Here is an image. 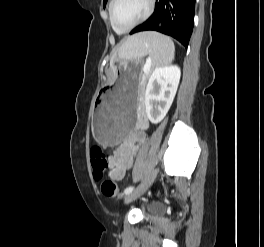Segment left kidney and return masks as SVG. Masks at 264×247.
Returning <instances> with one entry per match:
<instances>
[{
  "label": "left kidney",
  "mask_w": 264,
  "mask_h": 247,
  "mask_svg": "<svg viewBox=\"0 0 264 247\" xmlns=\"http://www.w3.org/2000/svg\"><path fill=\"white\" fill-rule=\"evenodd\" d=\"M181 71L178 66L157 67L149 77L145 91V109L151 123L166 116L177 91Z\"/></svg>",
  "instance_id": "obj_1"
}]
</instances>
